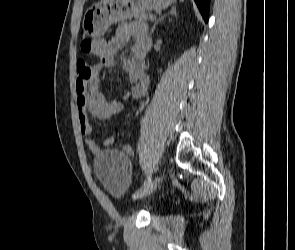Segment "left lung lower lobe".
<instances>
[{"instance_id":"0a47b994","label":"left lung lower lobe","mask_w":295,"mask_h":250,"mask_svg":"<svg viewBox=\"0 0 295 250\" xmlns=\"http://www.w3.org/2000/svg\"><path fill=\"white\" fill-rule=\"evenodd\" d=\"M201 12L204 20L207 22L209 18V3L210 0H194Z\"/></svg>"}]
</instances>
